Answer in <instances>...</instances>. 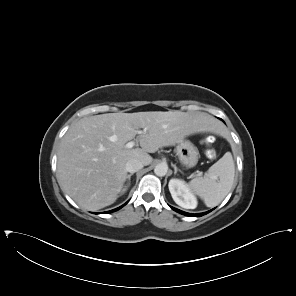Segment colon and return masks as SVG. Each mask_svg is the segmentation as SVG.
<instances>
[{"mask_svg": "<svg viewBox=\"0 0 296 296\" xmlns=\"http://www.w3.org/2000/svg\"><path fill=\"white\" fill-rule=\"evenodd\" d=\"M215 155L214 151L213 150H209L208 151V156L209 157H213Z\"/></svg>", "mask_w": 296, "mask_h": 296, "instance_id": "1", "label": "colon"}]
</instances>
